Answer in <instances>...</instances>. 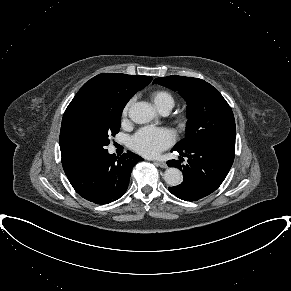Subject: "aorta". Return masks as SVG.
<instances>
[{
  "mask_svg": "<svg viewBox=\"0 0 291 291\" xmlns=\"http://www.w3.org/2000/svg\"><path fill=\"white\" fill-rule=\"evenodd\" d=\"M129 118L137 124L149 123L156 115L154 108L147 102H137L129 108ZM164 180L170 186H177L183 181V175L177 168H168Z\"/></svg>",
  "mask_w": 291,
  "mask_h": 291,
  "instance_id": "1",
  "label": "aorta"
}]
</instances>
